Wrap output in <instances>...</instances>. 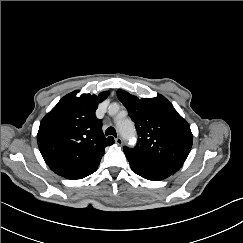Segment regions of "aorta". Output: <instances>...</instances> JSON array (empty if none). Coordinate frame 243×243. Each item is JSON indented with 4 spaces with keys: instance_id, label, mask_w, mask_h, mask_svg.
<instances>
[{
    "instance_id": "762f6f07",
    "label": "aorta",
    "mask_w": 243,
    "mask_h": 243,
    "mask_svg": "<svg viewBox=\"0 0 243 243\" xmlns=\"http://www.w3.org/2000/svg\"><path fill=\"white\" fill-rule=\"evenodd\" d=\"M118 128H119V131L121 132V134L124 136V137H129L133 134L134 132V129H133V125L128 122L126 125L123 124V123H120L118 125Z\"/></svg>"
}]
</instances>
